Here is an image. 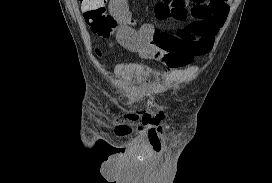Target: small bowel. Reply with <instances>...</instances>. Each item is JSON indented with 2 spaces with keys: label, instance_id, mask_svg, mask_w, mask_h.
<instances>
[{
  "label": "small bowel",
  "instance_id": "obj_1",
  "mask_svg": "<svg viewBox=\"0 0 272 183\" xmlns=\"http://www.w3.org/2000/svg\"><path fill=\"white\" fill-rule=\"evenodd\" d=\"M230 0H160L155 6L156 17L172 27L157 32L150 23L137 25L129 12H112L120 19L117 42L140 57H159L171 67H184L200 54L210 51L215 35L228 16ZM144 112H129L124 120L142 122Z\"/></svg>",
  "mask_w": 272,
  "mask_h": 183
}]
</instances>
